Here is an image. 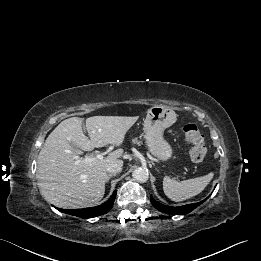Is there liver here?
<instances>
[{
  "mask_svg": "<svg viewBox=\"0 0 261 261\" xmlns=\"http://www.w3.org/2000/svg\"><path fill=\"white\" fill-rule=\"evenodd\" d=\"M138 117L93 116L85 120L89 137L78 117L62 121L47 137L37 160V178L41 195L60 208H84L98 204L105 193L107 166L120 160L123 149L103 159L79 156L82 151L112 144L120 146ZM88 157V156H87ZM122 161V160H121Z\"/></svg>",
  "mask_w": 261,
  "mask_h": 261,
  "instance_id": "1",
  "label": "liver"
}]
</instances>
